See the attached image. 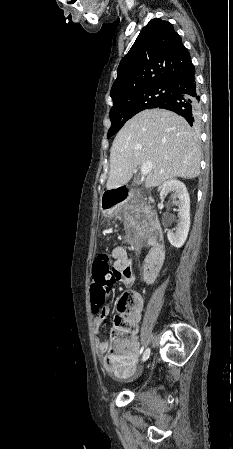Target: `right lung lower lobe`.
I'll list each match as a JSON object with an SVG mask.
<instances>
[{
  "instance_id": "1",
  "label": "right lung lower lobe",
  "mask_w": 233,
  "mask_h": 449,
  "mask_svg": "<svg viewBox=\"0 0 233 449\" xmlns=\"http://www.w3.org/2000/svg\"><path fill=\"white\" fill-rule=\"evenodd\" d=\"M170 94L155 108H163L183 116L191 126L199 124L200 96L195 81V71L172 81Z\"/></svg>"
}]
</instances>
